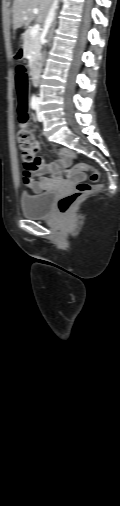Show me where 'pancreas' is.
<instances>
[{
  "mask_svg": "<svg viewBox=\"0 0 120 506\" xmlns=\"http://www.w3.org/2000/svg\"><path fill=\"white\" fill-rule=\"evenodd\" d=\"M30 32L31 29H28L24 33V51L26 55H28L30 51H32L33 52L32 57L36 58L40 54L41 50L40 35L38 33L35 37H32Z\"/></svg>",
  "mask_w": 120,
  "mask_h": 506,
  "instance_id": "1",
  "label": "pancreas"
}]
</instances>
